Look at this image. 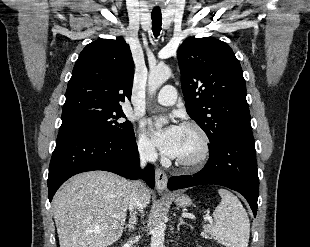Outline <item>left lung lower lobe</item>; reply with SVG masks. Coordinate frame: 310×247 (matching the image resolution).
<instances>
[{
  "label": "left lung lower lobe",
  "mask_w": 310,
  "mask_h": 247,
  "mask_svg": "<svg viewBox=\"0 0 310 247\" xmlns=\"http://www.w3.org/2000/svg\"><path fill=\"white\" fill-rule=\"evenodd\" d=\"M201 184L222 185L238 191L249 202L255 217L259 178L252 133L236 135L209 149V160L201 171L194 175L174 176L167 187L174 190Z\"/></svg>",
  "instance_id": "0a47b994"
}]
</instances>
